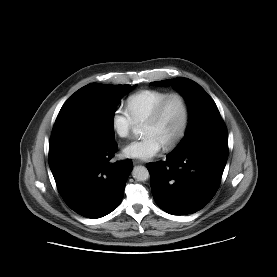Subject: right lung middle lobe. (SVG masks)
<instances>
[{"mask_svg": "<svg viewBox=\"0 0 277 277\" xmlns=\"http://www.w3.org/2000/svg\"><path fill=\"white\" fill-rule=\"evenodd\" d=\"M134 86L88 84L76 91L62 106L54 127L87 131L114 141V115L121 98Z\"/></svg>", "mask_w": 277, "mask_h": 277, "instance_id": "dd1d6c3e", "label": "right lung middle lobe"}]
</instances>
